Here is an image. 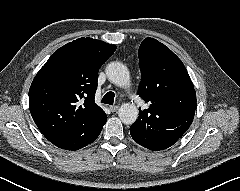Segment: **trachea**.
I'll return each instance as SVG.
<instances>
[{
	"label": "trachea",
	"instance_id": "3493384b",
	"mask_svg": "<svg viewBox=\"0 0 240 191\" xmlns=\"http://www.w3.org/2000/svg\"><path fill=\"white\" fill-rule=\"evenodd\" d=\"M114 97H115V94L114 92L110 91V92H107L103 98H102V103L104 104H109V105H113L114 103Z\"/></svg>",
	"mask_w": 240,
	"mask_h": 191
}]
</instances>
